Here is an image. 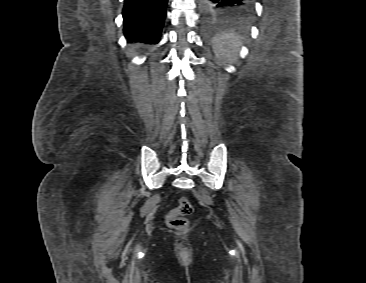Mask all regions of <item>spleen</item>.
<instances>
[{
  "instance_id": "3e777b00",
  "label": "spleen",
  "mask_w": 366,
  "mask_h": 283,
  "mask_svg": "<svg viewBox=\"0 0 366 283\" xmlns=\"http://www.w3.org/2000/svg\"><path fill=\"white\" fill-rule=\"evenodd\" d=\"M242 37L234 31L221 32L212 39V46L217 57L235 62L238 58Z\"/></svg>"
}]
</instances>
